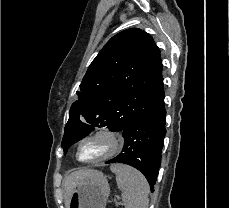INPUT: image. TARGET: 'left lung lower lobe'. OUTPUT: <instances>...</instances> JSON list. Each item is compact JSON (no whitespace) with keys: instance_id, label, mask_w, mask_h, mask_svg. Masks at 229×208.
Returning <instances> with one entry per match:
<instances>
[{"instance_id":"obj_1","label":"left lung lower lobe","mask_w":229,"mask_h":208,"mask_svg":"<svg viewBox=\"0 0 229 208\" xmlns=\"http://www.w3.org/2000/svg\"><path fill=\"white\" fill-rule=\"evenodd\" d=\"M165 116L163 95L123 130L122 135L125 140L123 153L106 162L124 163L138 169L146 177L152 192L160 168L166 135Z\"/></svg>"}]
</instances>
